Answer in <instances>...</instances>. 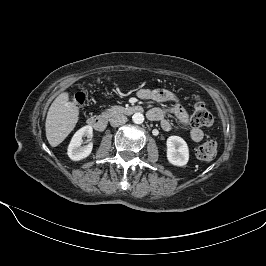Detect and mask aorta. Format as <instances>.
I'll use <instances>...</instances> for the list:
<instances>
[{
  "instance_id": "obj_1",
  "label": "aorta",
  "mask_w": 266,
  "mask_h": 266,
  "mask_svg": "<svg viewBox=\"0 0 266 266\" xmlns=\"http://www.w3.org/2000/svg\"><path fill=\"white\" fill-rule=\"evenodd\" d=\"M132 120L135 124H142L144 122V115L137 112L132 116Z\"/></svg>"
}]
</instances>
